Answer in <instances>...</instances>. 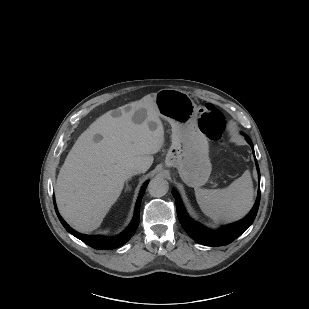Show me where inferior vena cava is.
<instances>
[{
    "mask_svg": "<svg viewBox=\"0 0 309 309\" xmlns=\"http://www.w3.org/2000/svg\"><path fill=\"white\" fill-rule=\"evenodd\" d=\"M143 171V168L140 166L132 167L126 172V177L129 178L132 175L143 173Z\"/></svg>",
    "mask_w": 309,
    "mask_h": 309,
    "instance_id": "inferior-vena-cava-1",
    "label": "inferior vena cava"
}]
</instances>
